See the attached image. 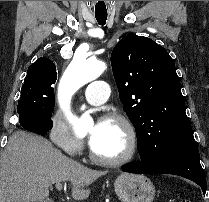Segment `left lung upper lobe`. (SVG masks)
I'll use <instances>...</instances> for the list:
<instances>
[{"instance_id":"5c2ea615","label":"left lung upper lobe","mask_w":209,"mask_h":202,"mask_svg":"<svg viewBox=\"0 0 209 202\" xmlns=\"http://www.w3.org/2000/svg\"><path fill=\"white\" fill-rule=\"evenodd\" d=\"M111 65L140 155L161 159L194 139L175 63L165 48L147 37L126 36L114 47Z\"/></svg>"}]
</instances>
